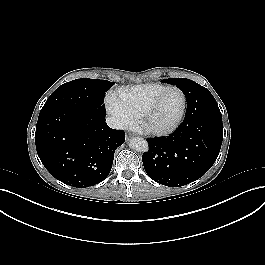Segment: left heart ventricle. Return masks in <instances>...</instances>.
I'll list each match as a JSON object with an SVG mask.
<instances>
[{
  "mask_svg": "<svg viewBox=\"0 0 265 265\" xmlns=\"http://www.w3.org/2000/svg\"><path fill=\"white\" fill-rule=\"evenodd\" d=\"M182 107V97L178 91L170 90L164 94L156 108L147 119V124L162 129L172 124L178 117Z\"/></svg>",
  "mask_w": 265,
  "mask_h": 265,
  "instance_id": "b2bd125f",
  "label": "left heart ventricle"
}]
</instances>
